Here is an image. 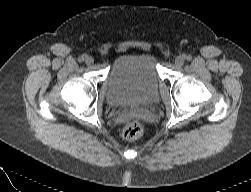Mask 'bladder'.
Listing matches in <instances>:
<instances>
[{
    "label": "bladder",
    "mask_w": 251,
    "mask_h": 192,
    "mask_svg": "<svg viewBox=\"0 0 251 192\" xmlns=\"http://www.w3.org/2000/svg\"><path fill=\"white\" fill-rule=\"evenodd\" d=\"M160 76L157 58L151 53L119 56L107 77V100L112 105L138 106L155 100Z\"/></svg>",
    "instance_id": "1"
}]
</instances>
